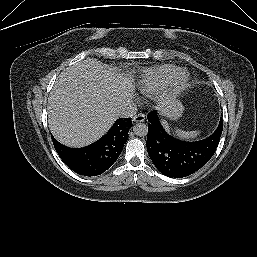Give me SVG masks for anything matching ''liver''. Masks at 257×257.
Returning <instances> with one entry per match:
<instances>
[{
  "label": "liver",
  "instance_id": "obj_1",
  "mask_svg": "<svg viewBox=\"0 0 257 257\" xmlns=\"http://www.w3.org/2000/svg\"><path fill=\"white\" fill-rule=\"evenodd\" d=\"M133 90L131 80L115 68L94 58L78 61L58 76L51 91L48 121L53 136L71 147L93 143L110 129Z\"/></svg>",
  "mask_w": 257,
  "mask_h": 257
}]
</instances>
